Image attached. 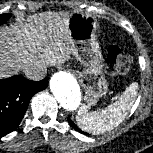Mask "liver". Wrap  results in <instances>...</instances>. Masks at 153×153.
Returning <instances> with one entry per match:
<instances>
[{
  "label": "liver",
  "mask_w": 153,
  "mask_h": 153,
  "mask_svg": "<svg viewBox=\"0 0 153 153\" xmlns=\"http://www.w3.org/2000/svg\"><path fill=\"white\" fill-rule=\"evenodd\" d=\"M27 21L10 30L0 29V78L32 63L57 64L70 58L68 18L48 21L46 25L43 15H34Z\"/></svg>",
  "instance_id": "1"
}]
</instances>
